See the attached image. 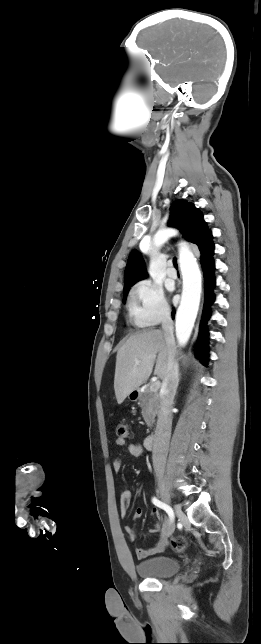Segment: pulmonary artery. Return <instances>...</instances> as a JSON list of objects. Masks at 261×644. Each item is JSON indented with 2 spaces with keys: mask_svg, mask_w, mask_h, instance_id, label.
<instances>
[{
  "mask_svg": "<svg viewBox=\"0 0 261 644\" xmlns=\"http://www.w3.org/2000/svg\"><path fill=\"white\" fill-rule=\"evenodd\" d=\"M167 275H168L169 277H171V278H176V277H177V272H176V270H175L172 266H170V267L167 269Z\"/></svg>",
  "mask_w": 261,
  "mask_h": 644,
  "instance_id": "e3ab8cb5",
  "label": "pulmonary artery"
}]
</instances>
